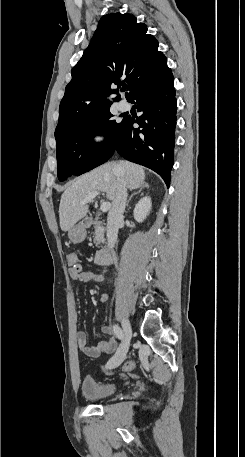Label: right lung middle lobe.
Returning a JSON list of instances; mask_svg holds the SVG:
<instances>
[{"mask_svg":"<svg viewBox=\"0 0 245 457\" xmlns=\"http://www.w3.org/2000/svg\"><path fill=\"white\" fill-rule=\"evenodd\" d=\"M109 107L61 125L55 130L57 175L60 181L83 174L106 162L114 153L122 123L112 119ZM104 135L101 144L93 137Z\"/></svg>","mask_w":245,"mask_h":457,"instance_id":"right-lung-middle-lobe-1","label":"right lung middle lobe"}]
</instances>
